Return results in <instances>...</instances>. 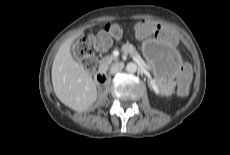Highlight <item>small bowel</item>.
Wrapping results in <instances>:
<instances>
[{
  "label": "small bowel",
  "mask_w": 230,
  "mask_h": 155,
  "mask_svg": "<svg viewBox=\"0 0 230 155\" xmlns=\"http://www.w3.org/2000/svg\"><path fill=\"white\" fill-rule=\"evenodd\" d=\"M134 32L139 37L140 43L145 46L151 45L155 36H157L161 45L166 48L177 46L180 43V37L166 30L161 21H146L144 24H137Z\"/></svg>",
  "instance_id": "1"
}]
</instances>
